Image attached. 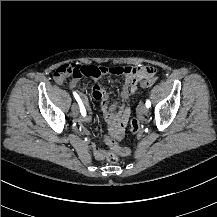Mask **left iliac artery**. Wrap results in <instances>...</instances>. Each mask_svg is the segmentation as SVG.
<instances>
[{
  "label": "left iliac artery",
  "mask_w": 217,
  "mask_h": 217,
  "mask_svg": "<svg viewBox=\"0 0 217 217\" xmlns=\"http://www.w3.org/2000/svg\"><path fill=\"white\" fill-rule=\"evenodd\" d=\"M146 107L147 108L151 107V102L149 100L146 101Z\"/></svg>",
  "instance_id": "left-iliac-artery-1"
}]
</instances>
